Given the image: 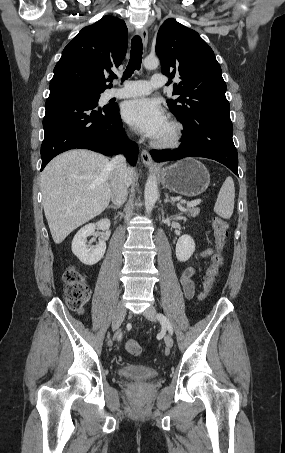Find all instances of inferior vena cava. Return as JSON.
Listing matches in <instances>:
<instances>
[{"label": "inferior vena cava", "mask_w": 285, "mask_h": 453, "mask_svg": "<svg viewBox=\"0 0 285 453\" xmlns=\"http://www.w3.org/2000/svg\"><path fill=\"white\" fill-rule=\"evenodd\" d=\"M109 165L113 169L111 200L115 205L120 207L128 196V187L130 184L128 178L129 168L123 155L115 156Z\"/></svg>", "instance_id": "obj_1"}]
</instances>
